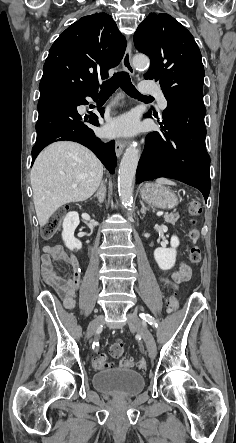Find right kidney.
<instances>
[{"instance_id":"obj_1","label":"right kidney","mask_w":236,"mask_h":443,"mask_svg":"<svg viewBox=\"0 0 236 443\" xmlns=\"http://www.w3.org/2000/svg\"><path fill=\"white\" fill-rule=\"evenodd\" d=\"M79 215L77 212H69L63 221V241L70 250L81 249L82 243L74 237V231L79 225Z\"/></svg>"}]
</instances>
